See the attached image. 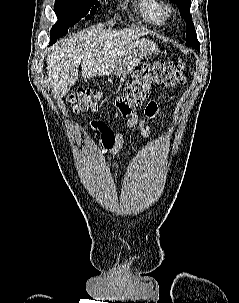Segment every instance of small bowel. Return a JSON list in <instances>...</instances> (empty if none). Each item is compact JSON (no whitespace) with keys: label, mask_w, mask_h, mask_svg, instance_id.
Returning <instances> with one entry per match:
<instances>
[{"label":"small bowel","mask_w":239,"mask_h":303,"mask_svg":"<svg viewBox=\"0 0 239 303\" xmlns=\"http://www.w3.org/2000/svg\"><path fill=\"white\" fill-rule=\"evenodd\" d=\"M145 118L132 117L127 121L128 126L134 127L138 126L144 136H149L151 133L148 120H153L158 115V105L155 101H150L144 110ZM93 129L101 131L100 146L101 149L107 154L113 166L115 162L113 161L114 156L121 149L124 143L123 136L119 133H115L110 129L104 127H99L98 122H91L89 124Z\"/></svg>","instance_id":"1"}]
</instances>
